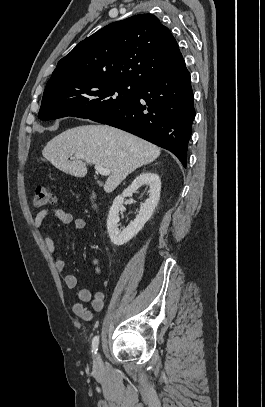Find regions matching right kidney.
I'll return each instance as SVG.
<instances>
[{
    "mask_svg": "<svg viewBox=\"0 0 265 407\" xmlns=\"http://www.w3.org/2000/svg\"><path fill=\"white\" fill-rule=\"evenodd\" d=\"M142 185L150 188L149 198L140 206L139 214L122 231L118 229L119 209L123 205L124 198L130 197ZM161 180L153 172H145L136 177L132 184L126 188L122 195L117 196L109 210L107 219V230L111 242L117 246L123 245L131 240L144 227L145 223L152 216L160 198Z\"/></svg>",
    "mask_w": 265,
    "mask_h": 407,
    "instance_id": "obj_1",
    "label": "right kidney"
}]
</instances>
